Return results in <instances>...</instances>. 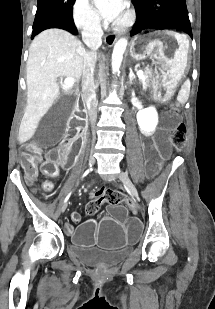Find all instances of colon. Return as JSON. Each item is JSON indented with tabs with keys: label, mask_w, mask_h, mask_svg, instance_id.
<instances>
[{
	"label": "colon",
	"mask_w": 215,
	"mask_h": 309,
	"mask_svg": "<svg viewBox=\"0 0 215 309\" xmlns=\"http://www.w3.org/2000/svg\"><path fill=\"white\" fill-rule=\"evenodd\" d=\"M172 143L176 150L181 151L184 148L187 139V129L183 122L178 123L172 133ZM39 157L31 152H27L23 157V166L29 174H34ZM45 173L49 176L43 184L44 191L49 192L53 189V179L58 174V163L55 161H49L45 164ZM128 199L124 194L116 190H102L101 193L94 194L86 204V213L89 216L97 214L101 208L103 202H107L110 205H120L127 202Z\"/></svg>",
	"instance_id": "colon-1"
}]
</instances>
